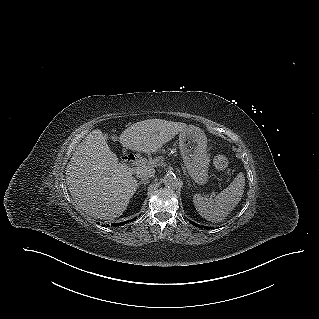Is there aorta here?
Instances as JSON below:
<instances>
[{
    "label": "aorta",
    "instance_id": "aorta-1",
    "mask_svg": "<svg viewBox=\"0 0 319 319\" xmlns=\"http://www.w3.org/2000/svg\"><path fill=\"white\" fill-rule=\"evenodd\" d=\"M163 182L165 186L170 189H177L180 186L179 179L174 174H171V173L167 174L164 177Z\"/></svg>",
    "mask_w": 319,
    "mask_h": 319
}]
</instances>
